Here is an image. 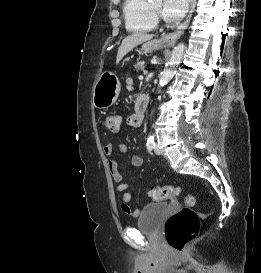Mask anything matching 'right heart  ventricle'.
<instances>
[{"label":"right heart ventricle","mask_w":261,"mask_h":273,"mask_svg":"<svg viewBox=\"0 0 261 273\" xmlns=\"http://www.w3.org/2000/svg\"><path fill=\"white\" fill-rule=\"evenodd\" d=\"M123 16L127 30L132 33L150 32L157 24L149 0H124Z\"/></svg>","instance_id":"right-heart-ventricle-1"}]
</instances>
